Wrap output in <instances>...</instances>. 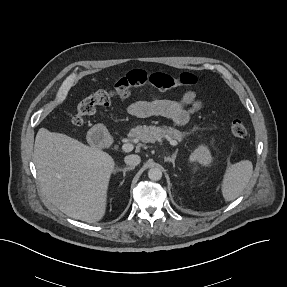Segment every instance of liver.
<instances>
[{"label":"liver","instance_id":"6515ba94","mask_svg":"<svg viewBox=\"0 0 287 287\" xmlns=\"http://www.w3.org/2000/svg\"><path fill=\"white\" fill-rule=\"evenodd\" d=\"M33 160L46 199L71 218L95 223L106 212L114 159L62 133L40 128Z\"/></svg>","mask_w":287,"mask_h":287}]
</instances>
